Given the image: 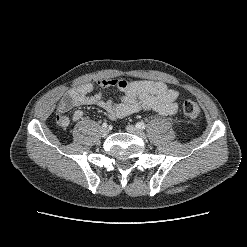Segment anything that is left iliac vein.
Here are the masks:
<instances>
[{
    "label": "left iliac vein",
    "instance_id": "left-iliac-vein-1",
    "mask_svg": "<svg viewBox=\"0 0 247 247\" xmlns=\"http://www.w3.org/2000/svg\"><path fill=\"white\" fill-rule=\"evenodd\" d=\"M126 130H127V132L135 134L142 139H146V134L142 130L138 129L137 127H135L133 125H128L126 127Z\"/></svg>",
    "mask_w": 247,
    "mask_h": 247
}]
</instances>
